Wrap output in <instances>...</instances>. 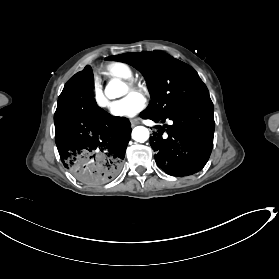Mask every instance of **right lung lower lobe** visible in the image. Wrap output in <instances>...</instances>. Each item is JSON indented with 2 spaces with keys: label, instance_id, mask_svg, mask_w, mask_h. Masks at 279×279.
<instances>
[{
  "label": "right lung lower lobe",
  "instance_id": "1",
  "mask_svg": "<svg viewBox=\"0 0 279 279\" xmlns=\"http://www.w3.org/2000/svg\"><path fill=\"white\" fill-rule=\"evenodd\" d=\"M87 65L64 86L54 115L55 141L65 168L79 181L101 185L115 179L130 140L131 124L96 104Z\"/></svg>",
  "mask_w": 279,
  "mask_h": 279
}]
</instances>
